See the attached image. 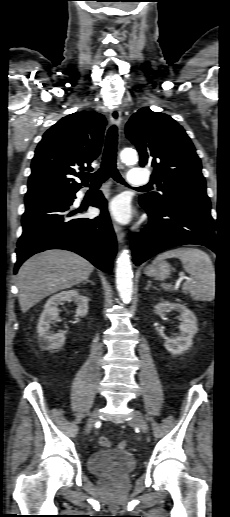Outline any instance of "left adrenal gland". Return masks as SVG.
Instances as JSON below:
<instances>
[{
  "label": "left adrenal gland",
  "instance_id": "a2214340",
  "mask_svg": "<svg viewBox=\"0 0 230 517\" xmlns=\"http://www.w3.org/2000/svg\"><path fill=\"white\" fill-rule=\"evenodd\" d=\"M152 287L151 281H148L147 286L145 287V290H149ZM154 288V287H153ZM155 289V288H154Z\"/></svg>",
  "mask_w": 230,
  "mask_h": 517
}]
</instances>
